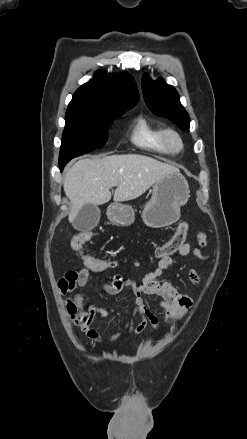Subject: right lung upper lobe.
<instances>
[{
    "label": "right lung upper lobe",
    "instance_id": "obj_1",
    "mask_svg": "<svg viewBox=\"0 0 247 439\" xmlns=\"http://www.w3.org/2000/svg\"><path fill=\"white\" fill-rule=\"evenodd\" d=\"M138 98L136 83L128 72L109 75L97 71L91 81L74 93L67 113H114L131 109Z\"/></svg>",
    "mask_w": 247,
    "mask_h": 439
}]
</instances>
